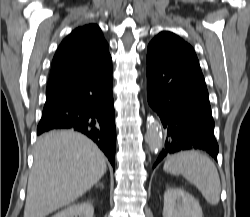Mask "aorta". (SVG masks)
Here are the masks:
<instances>
[{"instance_id":"obj_1","label":"aorta","mask_w":250,"mask_h":217,"mask_svg":"<svg viewBox=\"0 0 250 217\" xmlns=\"http://www.w3.org/2000/svg\"><path fill=\"white\" fill-rule=\"evenodd\" d=\"M147 139L152 152H159L163 147V135L159 122L150 119L147 123Z\"/></svg>"}]
</instances>
